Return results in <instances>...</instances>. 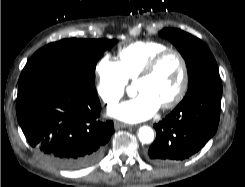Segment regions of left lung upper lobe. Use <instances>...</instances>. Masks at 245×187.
Listing matches in <instances>:
<instances>
[{
    "instance_id": "left-lung-upper-lobe-1",
    "label": "left lung upper lobe",
    "mask_w": 245,
    "mask_h": 187,
    "mask_svg": "<svg viewBox=\"0 0 245 187\" xmlns=\"http://www.w3.org/2000/svg\"><path fill=\"white\" fill-rule=\"evenodd\" d=\"M159 35L169 39L185 59L188 70L187 94L203 85L220 81L215 58L203 41L175 28L163 29Z\"/></svg>"
}]
</instances>
